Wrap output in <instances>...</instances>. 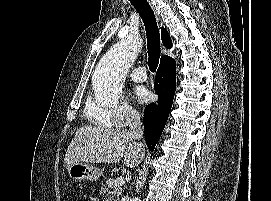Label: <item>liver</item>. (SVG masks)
<instances>
[{
	"label": "liver",
	"instance_id": "liver-1",
	"mask_svg": "<svg viewBox=\"0 0 271 201\" xmlns=\"http://www.w3.org/2000/svg\"><path fill=\"white\" fill-rule=\"evenodd\" d=\"M145 149L133 141L127 130L102 126H83L72 139L64 158L68 169L75 163H117L122 158L127 167H136Z\"/></svg>",
	"mask_w": 271,
	"mask_h": 201
}]
</instances>
